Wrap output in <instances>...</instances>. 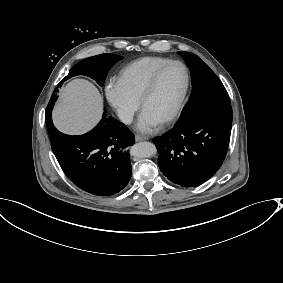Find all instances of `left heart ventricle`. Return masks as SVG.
<instances>
[{
	"label": "left heart ventricle",
	"instance_id": "1",
	"mask_svg": "<svg viewBox=\"0 0 283 283\" xmlns=\"http://www.w3.org/2000/svg\"><path fill=\"white\" fill-rule=\"evenodd\" d=\"M185 71L179 64L168 67L159 77L153 92L144 101L142 110H147L159 121L176 106L184 89Z\"/></svg>",
	"mask_w": 283,
	"mask_h": 283
}]
</instances>
